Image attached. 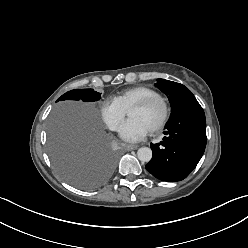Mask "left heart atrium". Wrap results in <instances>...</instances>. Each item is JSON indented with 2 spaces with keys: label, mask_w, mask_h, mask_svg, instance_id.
Returning <instances> with one entry per match:
<instances>
[{
  "label": "left heart atrium",
  "mask_w": 248,
  "mask_h": 248,
  "mask_svg": "<svg viewBox=\"0 0 248 248\" xmlns=\"http://www.w3.org/2000/svg\"><path fill=\"white\" fill-rule=\"evenodd\" d=\"M148 133V128L137 119H129L120 128V136L129 142L143 139Z\"/></svg>",
  "instance_id": "39dd6f15"
}]
</instances>
